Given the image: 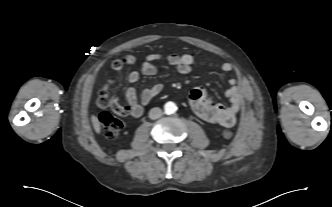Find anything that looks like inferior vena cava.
I'll use <instances>...</instances> for the list:
<instances>
[{
    "mask_svg": "<svg viewBox=\"0 0 332 207\" xmlns=\"http://www.w3.org/2000/svg\"><path fill=\"white\" fill-rule=\"evenodd\" d=\"M162 116V110L158 107L152 108L149 112V117L151 119H158Z\"/></svg>",
    "mask_w": 332,
    "mask_h": 207,
    "instance_id": "1",
    "label": "inferior vena cava"
}]
</instances>
